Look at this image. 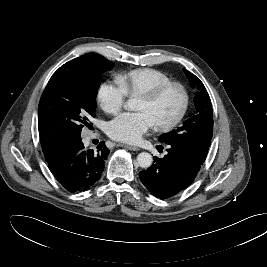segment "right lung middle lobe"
<instances>
[{"label": "right lung middle lobe", "instance_id": "dd1d6c3e", "mask_svg": "<svg viewBox=\"0 0 267 267\" xmlns=\"http://www.w3.org/2000/svg\"><path fill=\"white\" fill-rule=\"evenodd\" d=\"M114 64L88 53L62 65L50 78L40 99L38 127L42 147L81 137L83 127L92 130L101 74Z\"/></svg>", "mask_w": 267, "mask_h": 267}]
</instances>
